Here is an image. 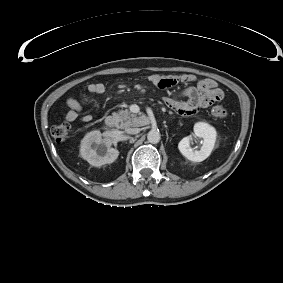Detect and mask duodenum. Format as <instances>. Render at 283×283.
<instances>
[{"label":"duodenum","instance_id":"1","mask_svg":"<svg viewBox=\"0 0 283 283\" xmlns=\"http://www.w3.org/2000/svg\"><path fill=\"white\" fill-rule=\"evenodd\" d=\"M116 118L114 116H107L105 118V125L108 128H114L116 126Z\"/></svg>","mask_w":283,"mask_h":283}]
</instances>
